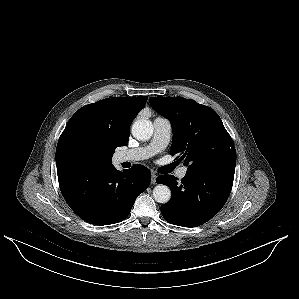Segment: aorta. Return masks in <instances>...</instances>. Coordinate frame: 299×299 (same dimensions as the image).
<instances>
[{
  "instance_id": "aorta-1",
  "label": "aorta",
  "mask_w": 299,
  "mask_h": 299,
  "mask_svg": "<svg viewBox=\"0 0 299 299\" xmlns=\"http://www.w3.org/2000/svg\"><path fill=\"white\" fill-rule=\"evenodd\" d=\"M132 135L140 141H146L153 135L154 127L150 120L138 119L132 125ZM153 198L156 202L165 204L171 198V191L169 187L159 184L153 189Z\"/></svg>"
}]
</instances>
